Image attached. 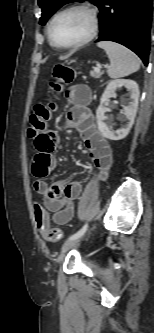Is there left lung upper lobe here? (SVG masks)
Wrapping results in <instances>:
<instances>
[{"label":"left lung upper lobe","mask_w":154,"mask_h":333,"mask_svg":"<svg viewBox=\"0 0 154 333\" xmlns=\"http://www.w3.org/2000/svg\"><path fill=\"white\" fill-rule=\"evenodd\" d=\"M74 1L84 0H38V4L42 9V16L39 23L44 25L47 20L64 4ZM102 0H90L91 3L98 6Z\"/></svg>","instance_id":"obj_1"}]
</instances>
